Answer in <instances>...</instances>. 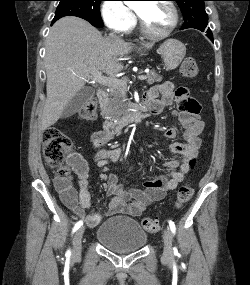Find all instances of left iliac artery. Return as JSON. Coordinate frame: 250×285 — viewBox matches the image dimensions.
<instances>
[{
  "instance_id": "left-iliac-artery-1",
  "label": "left iliac artery",
  "mask_w": 250,
  "mask_h": 285,
  "mask_svg": "<svg viewBox=\"0 0 250 285\" xmlns=\"http://www.w3.org/2000/svg\"><path fill=\"white\" fill-rule=\"evenodd\" d=\"M169 227H170L172 233L175 234L176 227H175V224H174V222L172 220H169Z\"/></svg>"
}]
</instances>
